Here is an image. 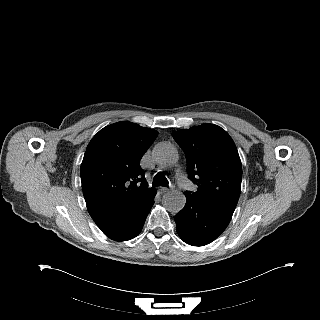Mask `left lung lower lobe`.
<instances>
[{"label":"left lung lower lobe","mask_w":320,"mask_h":320,"mask_svg":"<svg viewBox=\"0 0 320 320\" xmlns=\"http://www.w3.org/2000/svg\"><path fill=\"white\" fill-rule=\"evenodd\" d=\"M185 196L184 208L174 216L177 233L189 245H207L221 235L232 216L210 204Z\"/></svg>","instance_id":"0a47b994"}]
</instances>
